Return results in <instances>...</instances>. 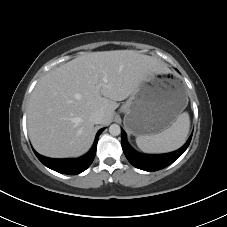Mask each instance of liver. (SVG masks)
<instances>
[{
	"label": "liver",
	"instance_id": "obj_1",
	"mask_svg": "<svg viewBox=\"0 0 227 227\" xmlns=\"http://www.w3.org/2000/svg\"><path fill=\"white\" fill-rule=\"evenodd\" d=\"M169 72L159 59L134 50L91 52L45 74L34 88L27 127L37 152L52 158L78 157L94 141L90 116L112 121L117 101L132 95L149 75Z\"/></svg>",
	"mask_w": 227,
	"mask_h": 227
}]
</instances>
